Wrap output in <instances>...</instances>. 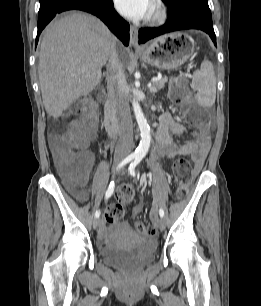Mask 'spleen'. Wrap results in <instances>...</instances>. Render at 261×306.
Masks as SVG:
<instances>
[{"mask_svg":"<svg viewBox=\"0 0 261 306\" xmlns=\"http://www.w3.org/2000/svg\"><path fill=\"white\" fill-rule=\"evenodd\" d=\"M192 87L197 91L195 98L204 107H210L216 98V77L212 63L205 59L200 69L196 70L192 78Z\"/></svg>","mask_w":261,"mask_h":306,"instance_id":"1","label":"spleen"}]
</instances>
